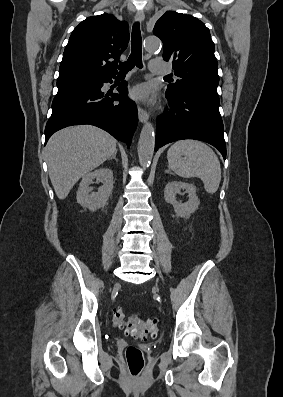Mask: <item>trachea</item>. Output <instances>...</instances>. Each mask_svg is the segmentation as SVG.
<instances>
[{
    "instance_id": "1",
    "label": "trachea",
    "mask_w": 283,
    "mask_h": 397,
    "mask_svg": "<svg viewBox=\"0 0 283 397\" xmlns=\"http://www.w3.org/2000/svg\"><path fill=\"white\" fill-rule=\"evenodd\" d=\"M137 66L138 68H142V37L140 31V23L135 22L132 27V35H131V54L127 61L120 62L118 65L119 73L118 75H125L130 70ZM167 77V76H166Z\"/></svg>"
}]
</instances>
